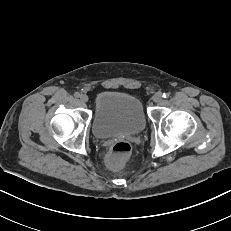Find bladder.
<instances>
[{
    "mask_svg": "<svg viewBox=\"0 0 231 231\" xmlns=\"http://www.w3.org/2000/svg\"><path fill=\"white\" fill-rule=\"evenodd\" d=\"M146 125L141 102L134 96L103 91L94 98L92 132L98 138L139 133Z\"/></svg>",
    "mask_w": 231,
    "mask_h": 231,
    "instance_id": "1",
    "label": "bladder"
}]
</instances>
